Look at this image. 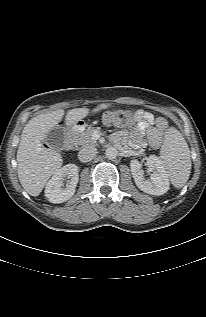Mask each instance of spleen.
Returning <instances> with one entry per match:
<instances>
[{
  "instance_id": "1",
  "label": "spleen",
  "mask_w": 206,
  "mask_h": 317,
  "mask_svg": "<svg viewBox=\"0 0 206 317\" xmlns=\"http://www.w3.org/2000/svg\"><path fill=\"white\" fill-rule=\"evenodd\" d=\"M160 160L172 185L176 188L183 187L191 171L190 151L186 140L175 127L166 131L160 149Z\"/></svg>"
}]
</instances>
